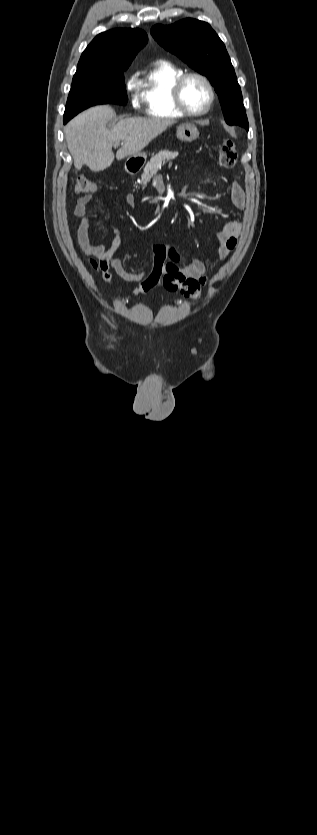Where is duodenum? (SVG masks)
Segmentation results:
<instances>
[{
  "label": "duodenum",
  "instance_id": "duodenum-1",
  "mask_svg": "<svg viewBox=\"0 0 317 835\" xmlns=\"http://www.w3.org/2000/svg\"><path fill=\"white\" fill-rule=\"evenodd\" d=\"M140 165L136 161H129L127 164V169L129 172L134 173L139 169Z\"/></svg>",
  "mask_w": 317,
  "mask_h": 835
}]
</instances>
